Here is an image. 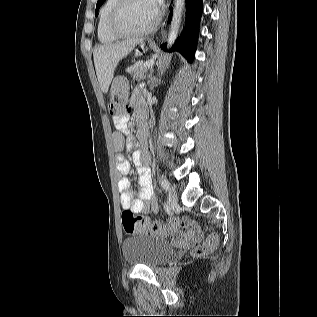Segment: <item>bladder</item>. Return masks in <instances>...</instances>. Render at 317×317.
Here are the masks:
<instances>
[{
	"instance_id": "1",
	"label": "bladder",
	"mask_w": 317,
	"mask_h": 317,
	"mask_svg": "<svg viewBox=\"0 0 317 317\" xmlns=\"http://www.w3.org/2000/svg\"><path fill=\"white\" fill-rule=\"evenodd\" d=\"M122 251L128 263L153 267L169 260L175 249L168 240L143 233L126 238Z\"/></svg>"
}]
</instances>
